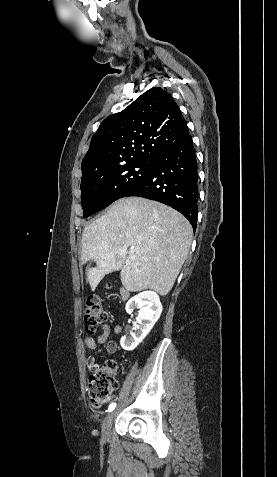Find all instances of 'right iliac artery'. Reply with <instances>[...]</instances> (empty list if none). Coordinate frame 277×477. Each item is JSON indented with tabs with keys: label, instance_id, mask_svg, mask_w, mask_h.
I'll use <instances>...</instances> for the list:
<instances>
[{
	"label": "right iliac artery",
	"instance_id": "82829eb1",
	"mask_svg": "<svg viewBox=\"0 0 277 477\" xmlns=\"http://www.w3.org/2000/svg\"><path fill=\"white\" fill-rule=\"evenodd\" d=\"M115 407H116V403H112V404L109 406L108 411H109V412L113 411V410L115 409Z\"/></svg>",
	"mask_w": 277,
	"mask_h": 477
}]
</instances>
